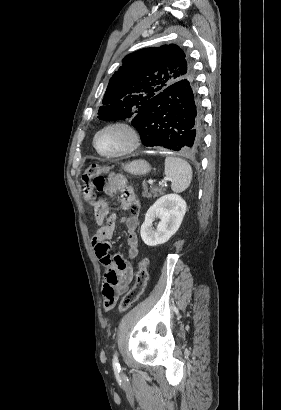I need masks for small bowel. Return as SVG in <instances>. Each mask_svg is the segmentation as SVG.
I'll use <instances>...</instances> for the list:
<instances>
[{
    "mask_svg": "<svg viewBox=\"0 0 281 410\" xmlns=\"http://www.w3.org/2000/svg\"><path fill=\"white\" fill-rule=\"evenodd\" d=\"M121 193V202L123 210H131L132 213L122 218V222L127 229V254L128 259L121 255H110L108 241L113 236L117 215L110 214L109 204L106 199L99 197L94 204V215L98 229L92 237V246L95 255L102 266L105 268L103 296L106 301L109 296L113 297L115 303L119 294L124 293L131 285L134 276L133 262L138 255V236L137 227L139 218L137 212L133 211V205L139 209V203L136 200L135 193L127 185L126 178L117 173H112L108 178V192Z\"/></svg>",
    "mask_w": 281,
    "mask_h": 410,
    "instance_id": "c3829d8e",
    "label": "small bowel"
}]
</instances>
